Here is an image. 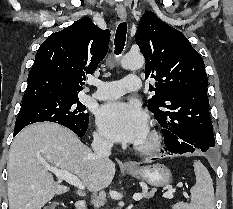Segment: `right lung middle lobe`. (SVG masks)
<instances>
[{
    "mask_svg": "<svg viewBox=\"0 0 233 209\" xmlns=\"http://www.w3.org/2000/svg\"><path fill=\"white\" fill-rule=\"evenodd\" d=\"M79 98L42 99L22 103L15 123V129L43 121L61 124L71 129H81L88 125L89 114L85 113Z\"/></svg>",
    "mask_w": 233,
    "mask_h": 209,
    "instance_id": "right-lung-middle-lobe-1",
    "label": "right lung middle lobe"
}]
</instances>
